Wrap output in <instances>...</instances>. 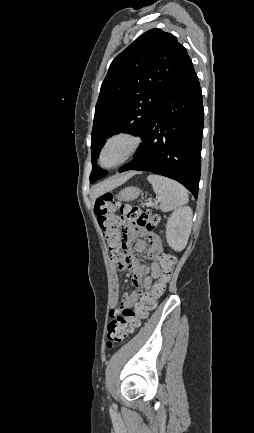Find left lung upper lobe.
Returning <instances> with one entry per match:
<instances>
[{
    "instance_id": "left-lung-upper-lobe-1",
    "label": "left lung upper lobe",
    "mask_w": 254,
    "mask_h": 433,
    "mask_svg": "<svg viewBox=\"0 0 254 433\" xmlns=\"http://www.w3.org/2000/svg\"><path fill=\"white\" fill-rule=\"evenodd\" d=\"M187 55L174 35L151 29L112 61L95 107L91 183L107 175L96 164L106 138L120 132L142 136Z\"/></svg>"
}]
</instances>
